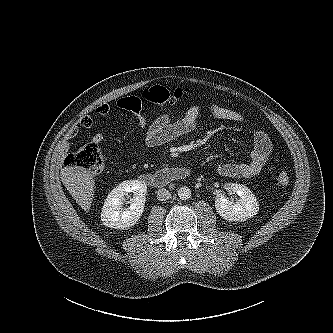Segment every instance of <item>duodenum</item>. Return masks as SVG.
Wrapping results in <instances>:
<instances>
[{
    "instance_id": "duodenum-1",
    "label": "duodenum",
    "mask_w": 333,
    "mask_h": 333,
    "mask_svg": "<svg viewBox=\"0 0 333 333\" xmlns=\"http://www.w3.org/2000/svg\"><path fill=\"white\" fill-rule=\"evenodd\" d=\"M190 174L191 171L187 167L172 166L162 168L154 173L142 174L140 180L151 187L163 188L172 182L187 179Z\"/></svg>"
}]
</instances>
